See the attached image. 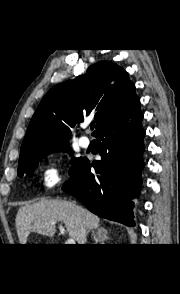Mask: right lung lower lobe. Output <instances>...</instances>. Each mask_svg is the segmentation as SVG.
I'll return each instance as SVG.
<instances>
[{
    "instance_id": "obj_1",
    "label": "right lung lower lobe",
    "mask_w": 180,
    "mask_h": 294,
    "mask_svg": "<svg viewBox=\"0 0 180 294\" xmlns=\"http://www.w3.org/2000/svg\"><path fill=\"white\" fill-rule=\"evenodd\" d=\"M140 100L106 122L96 134L100 161L85 159L63 186L96 215L134 226L133 199L139 196L144 168ZM94 167L96 174L90 172Z\"/></svg>"
}]
</instances>
